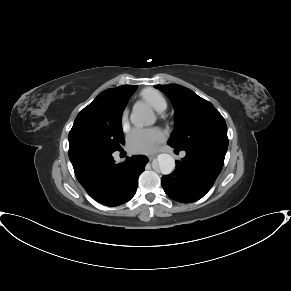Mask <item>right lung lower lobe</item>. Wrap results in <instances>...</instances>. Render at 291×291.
<instances>
[{
    "mask_svg": "<svg viewBox=\"0 0 291 291\" xmlns=\"http://www.w3.org/2000/svg\"><path fill=\"white\" fill-rule=\"evenodd\" d=\"M112 153L90 148L71 149L68 152L79 183L93 199L109 207L132 199L138 186V177L148 162L146 156L136 155L121 164H115Z\"/></svg>",
    "mask_w": 291,
    "mask_h": 291,
    "instance_id": "1",
    "label": "right lung lower lobe"
}]
</instances>
